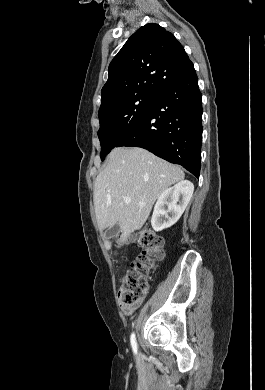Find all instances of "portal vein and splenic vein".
I'll return each instance as SVG.
<instances>
[{
  "label": "portal vein and splenic vein",
  "mask_w": 265,
  "mask_h": 390,
  "mask_svg": "<svg viewBox=\"0 0 265 390\" xmlns=\"http://www.w3.org/2000/svg\"><path fill=\"white\" fill-rule=\"evenodd\" d=\"M123 201H124L126 204H129V203L131 202V198H129V197H124V198H123ZM139 205H140V206H143L144 203H139Z\"/></svg>",
  "instance_id": "18ae733b"
}]
</instances>
